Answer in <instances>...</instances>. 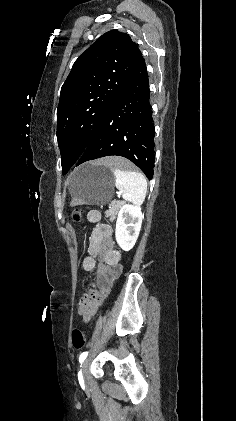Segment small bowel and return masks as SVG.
<instances>
[{
    "instance_id": "1",
    "label": "small bowel",
    "mask_w": 236,
    "mask_h": 421,
    "mask_svg": "<svg viewBox=\"0 0 236 421\" xmlns=\"http://www.w3.org/2000/svg\"><path fill=\"white\" fill-rule=\"evenodd\" d=\"M88 220L96 225L91 235V249L94 251L98 241L110 239L113 229L110 225L101 223V214L96 210L88 213ZM79 313H84L82 307L79 308Z\"/></svg>"
}]
</instances>
